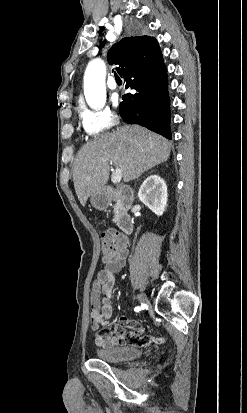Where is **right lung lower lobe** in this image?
I'll return each mask as SVG.
<instances>
[{
	"instance_id": "98d812e1",
	"label": "right lung lower lobe",
	"mask_w": 247,
	"mask_h": 413,
	"mask_svg": "<svg viewBox=\"0 0 247 413\" xmlns=\"http://www.w3.org/2000/svg\"><path fill=\"white\" fill-rule=\"evenodd\" d=\"M125 82L126 88L135 91L122 97L124 101L119 106L122 119L171 139L170 101L164 62L140 75L126 77Z\"/></svg>"
}]
</instances>
